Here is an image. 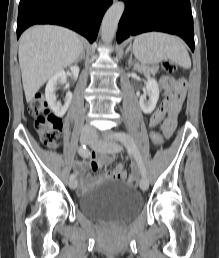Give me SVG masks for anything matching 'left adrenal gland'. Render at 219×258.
I'll return each mask as SVG.
<instances>
[{
    "mask_svg": "<svg viewBox=\"0 0 219 258\" xmlns=\"http://www.w3.org/2000/svg\"><path fill=\"white\" fill-rule=\"evenodd\" d=\"M129 51H131V55L130 58L128 60V64L131 65L132 64V49H131V45H129V47L126 50V54L129 53Z\"/></svg>",
    "mask_w": 219,
    "mask_h": 258,
    "instance_id": "1",
    "label": "left adrenal gland"
}]
</instances>
